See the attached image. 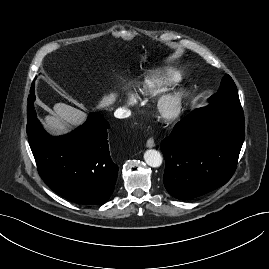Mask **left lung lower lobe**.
Here are the masks:
<instances>
[{
    "label": "left lung lower lobe",
    "mask_w": 269,
    "mask_h": 269,
    "mask_svg": "<svg viewBox=\"0 0 269 269\" xmlns=\"http://www.w3.org/2000/svg\"><path fill=\"white\" fill-rule=\"evenodd\" d=\"M244 137L240 103H210L193 110L161 142L167 191L188 200L226 184L235 172Z\"/></svg>",
    "instance_id": "1"
}]
</instances>
